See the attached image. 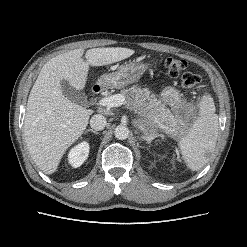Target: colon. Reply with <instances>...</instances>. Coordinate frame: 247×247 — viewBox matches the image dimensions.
<instances>
[{"label":"colon","mask_w":247,"mask_h":247,"mask_svg":"<svg viewBox=\"0 0 247 247\" xmlns=\"http://www.w3.org/2000/svg\"><path fill=\"white\" fill-rule=\"evenodd\" d=\"M187 63L183 59L168 58L165 61V68L170 77L176 78L180 76L186 69ZM201 82V77L198 74L185 72L181 77V85L185 89L195 87Z\"/></svg>","instance_id":"1"}]
</instances>
